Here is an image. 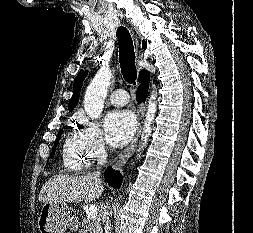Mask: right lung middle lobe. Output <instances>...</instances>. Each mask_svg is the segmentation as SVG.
<instances>
[{
  "label": "right lung middle lobe",
  "mask_w": 253,
  "mask_h": 233,
  "mask_svg": "<svg viewBox=\"0 0 253 233\" xmlns=\"http://www.w3.org/2000/svg\"><path fill=\"white\" fill-rule=\"evenodd\" d=\"M61 134H62V130H60L59 133H58V135H57V138L55 140L54 147H53V150H52V153H51V157H53V155H54V152H55L56 146H57V144L59 142Z\"/></svg>",
  "instance_id": "1"
}]
</instances>
